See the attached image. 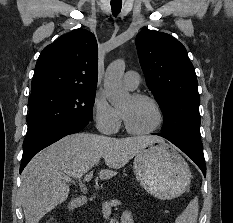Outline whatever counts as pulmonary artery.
<instances>
[{"label":"pulmonary artery","instance_id":"obj_1","mask_svg":"<svg viewBox=\"0 0 233 223\" xmlns=\"http://www.w3.org/2000/svg\"><path fill=\"white\" fill-rule=\"evenodd\" d=\"M140 83V75L138 72L130 70L123 76V84L129 90H135Z\"/></svg>","mask_w":233,"mask_h":223}]
</instances>
